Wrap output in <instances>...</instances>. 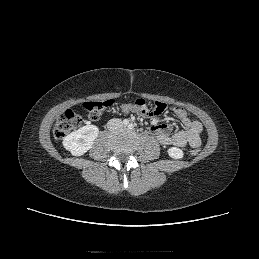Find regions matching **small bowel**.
Segmentation results:
<instances>
[{"label":"small bowel","mask_w":259,"mask_h":259,"mask_svg":"<svg viewBox=\"0 0 259 259\" xmlns=\"http://www.w3.org/2000/svg\"><path fill=\"white\" fill-rule=\"evenodd\" d=\"M171 110L181 121L184 128L176 132H171L172 127L169 124L153 122L149 129L156 139L164 146L185 147L189 145L193 148L199 147L203 133L202 124L192 119L189 114L179 106H172Z\"/></svg>","instance_id":"c3829d8e"}]
</instances>
